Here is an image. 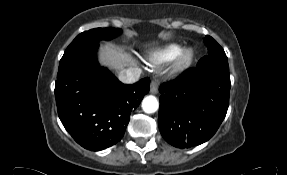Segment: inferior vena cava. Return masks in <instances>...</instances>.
Listing matches in <instances>:
<instances>
[{
  "mask_svg": "<svg viewBox=\"0 0 287 175\" xmlns=\"http://www.w3.org/2000/svg\"><path fill=\"white\" fill-rule=\"evenodd\" d=\"M142 70L138 67H130L128 69H123L119 72L118 78L123 83H135L139 80Z\"/></svg>",
  "mask_w": 287,
  "mask_h": 175,
  "instance_id": "1",
  "label": "inferior vena cava"
}]
</instances>
